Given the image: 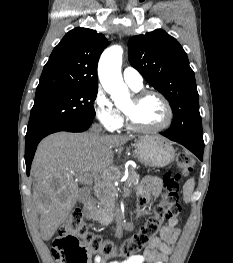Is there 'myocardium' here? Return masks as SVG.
I'll return each instance as SVG.
<instances>
[{"instance_id": "obj_1", "label": "myocardium", "mask_w": 233, "mask_h": 263, "mask_svg": "<svg viewBox=\"0 0 233 263\" xmlns=\"http://www.w3.org/2000/svg\"><path fill=\"white\" fill-rule=\"evenodd\" d=\"M147 96H155L162 102L166 110L165 121L159 126H155V127L138 126L135 124L130 114L127 111L123 110L127 127L134 132H140V133L160 132L170 127L173 122L174 113L168 99L162 93L155 90H140V91H136L133 94V100L135 103H139L142 99H144Z\"/></svg>"}]
</instances>
